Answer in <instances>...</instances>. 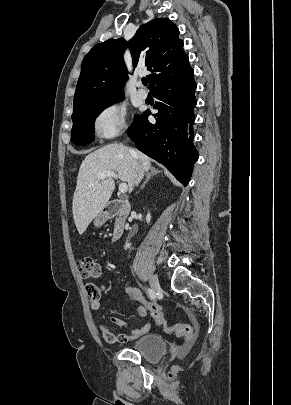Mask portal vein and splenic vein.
<instances>
[{
  "label": "portal vein and splenic vein",
  "instance_id": "obj_1",
  "mask_svg": "<svg viewBox=\"0 0 291 405\" xmlns=\"http://www.w3.org/2000/svg\"><path fill=\"white\" fill-rule=\"evenodd\" d=\"M107 177L117 179V175L113 171H104V172H100V173L97 174L98 180H103V179H105ZM127 190H128V186H127L126 183H120L119 184V192L120 193H126Z\"/></svg>",
  "mask_w": 291,
  "mask_h": 405
}]
</instances>
